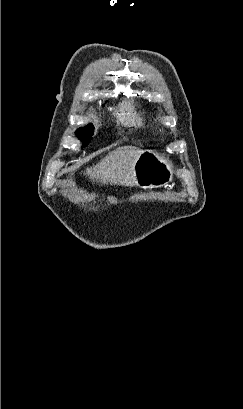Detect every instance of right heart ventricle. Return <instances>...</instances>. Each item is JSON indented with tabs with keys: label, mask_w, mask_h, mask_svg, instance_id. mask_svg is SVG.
<instances>
[{
	"label": "right heart ventricle",
	"mask_w": 243,
	"mask_h": 409,
	"mask_svg": "<svg viewBox=\"0 0 243 409\" xmlns=\"http://www.w3.org/2000/svg\"><path fill=\"white\" fill-rule=\"evenodd\" d=\"M118 118L121 122L129 125L145 126L147 119L141 111H138L133 103L123 104L118 113Z\"/></svg>",
	"instance_id": "obj_1"
}]
</instances>
